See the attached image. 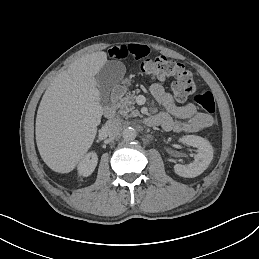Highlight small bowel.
<instances>
[{
	"label": "small bowel",
	"instance_id": "c3829d8e",
	"mask_svg": "<svg viewBox=\"0 0 259 259\" xmlns=\"http://www.w3.org/2000/svg\"><path fill=\"white\" fill-rule=\"evenodd\" d=\"M149 54V47L143 44H121L111 47L107 56L113 60L127 57L142 59ZM150 92L155 100L164 107L165 111L155 117L157 123L165 131L194 133L209 128L214 123V118L199 112L194 103L177 104V98L169 93L161 84L154 83Z\"/></svg>",
	"mask_w": 259,
	"mask_h": 259
}]
</instances>
